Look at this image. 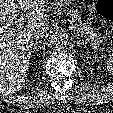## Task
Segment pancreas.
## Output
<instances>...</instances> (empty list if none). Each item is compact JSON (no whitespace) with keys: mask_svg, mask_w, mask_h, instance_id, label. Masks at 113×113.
<instances>
[{"mask_svg":"<svg viewBox=\"0 0 113 113\" xmlns=\"http://www.w3.org/2000/svg\"><path fill=\"white\" fill-rule=\"evenodd\" d=\"M64 4L60 1H56L54 4L55 9L63 7ZM67 16L71 24L77 29L78 32L84 36L94 47H98L102 42V36L97 33L92 27L84 23L77 10H70L67 12Z\"/></svg>","mask_w":113,"mask_h":113,"instance_id":"cf45deb5","label":"pancreas"}]
</instances>
